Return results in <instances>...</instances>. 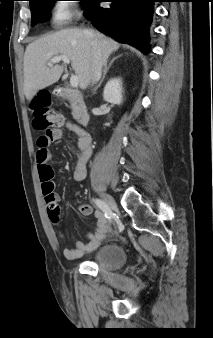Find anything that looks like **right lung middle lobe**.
<instances>
[{"label":"right lung middle lobe","mask_w":213,"mask_h":338,"mask_svg":"<svg viewBox=\"0 0 213 338\" xmlns=\"http://www.w3.org/2000/svg\"><path fill=\"white\" fill-rule=\"evenodd\" d=\"M33 24L39 21H45L50 16V10L53 3L57 0H29ZM80 1L83 9L88 8L95 0H75Z\"/></svg>","instance_id":"obj_1"}]
</instances>
